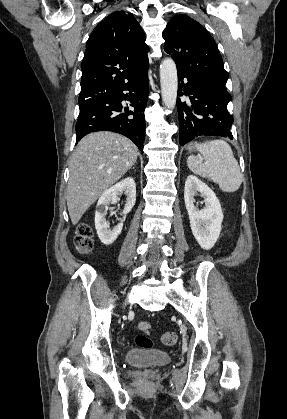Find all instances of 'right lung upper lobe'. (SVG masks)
Masks as SVG:
<instances>
[{
    "label": "right lung upper lobe",
    "mask_w": 287,
    "mask_h": 419,
    "mask_svg": "<svg viewBox=\"0 0 287 419\" xmlns=\"http://www.w3.org/2000/svg\"><path fill=\"white\" fill-rule=\"evenodd\" d=\"M148 46L132 14L111 13L91 33L81 64L79 106L133 83L147 73Z\"/></svg>",
    "instance_id": "cb5924a9"
}]
</instances>
